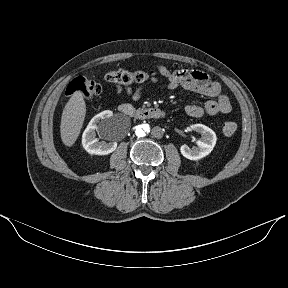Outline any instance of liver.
<instances>
[{
  "instance_id": "liver-1",
  "label": "liver",
  "mask_w": 288,
  "mask_h": 288,
  "mask_svg": "<svg viewBox=\"0 0 288 288\" xmlns=\"http://www.w3.org/2000/svg\"><path fill=\"white\" fill-rule=\"evenodd\" d=\"M86 114V103L80 91H76L64 107L60 133L66 146H72L77 140Z\"/></svg>"
}]
</instances>
